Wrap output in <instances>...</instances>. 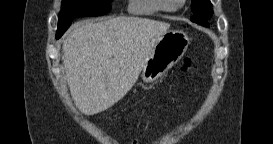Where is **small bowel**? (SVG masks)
I'll return each instance as SVG.
<instances>
[{"label":"small bowel","mask_w":273,"mask_h":144,"mask_svg":"<svg viewBox=\"0 0 273 144\" xmlns=\"http://www.w3.org/2000/svg\"><path fill=\"white\" fill-rule=\"evenodd\" d=\"M132 144H136V142H135V141H133V142H132Z\"/></svg>","instance_id":"1"}]
</instances>
